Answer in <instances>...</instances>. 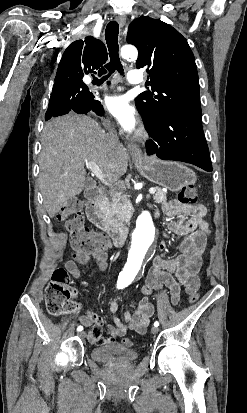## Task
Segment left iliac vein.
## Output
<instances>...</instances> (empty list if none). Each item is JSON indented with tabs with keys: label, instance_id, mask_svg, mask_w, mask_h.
<instances>
[{
	"label": "left iliac vein",
	"instance_id": "left-iliac-vein-1",
	"mask_svg": "<svg viewBox=\"0 0 247 413\" xmlns=\"http://www.w3.org/2000/svg\"><path fill=\"white\" fill-rule=\"evenodd\" d=\"M159 332V329H158V327H152V330H151V333L152 334H157Z\"/></svg>",
	"mask_w": 247,
	"mask_h": 413
}]
</instances>
